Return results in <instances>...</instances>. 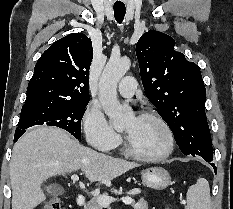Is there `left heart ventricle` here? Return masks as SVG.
Returning <instances> with one entry per match:
<instances>
[{"label":"left heart ventricle","instance_id":"obj_1","mask_svg":"<svg viewBox=\"0 0 233 209\" xmlns=\"http://www.w3.org/2000/svg\"><path fill=\"white\" fill-rule=\"evenodd\" d=\"M124 131L132 148L144 155H156L166 147V134L158 122L146 117H131Z\"/></svg>","mask_w":233,"mask_h":209}]
</instances>
